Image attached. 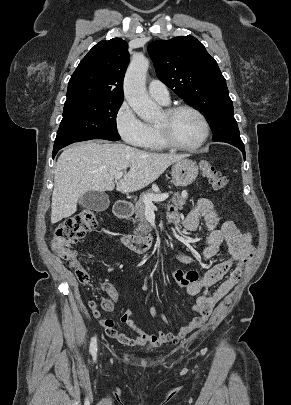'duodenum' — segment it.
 <instances>
[{"mask_svg":"<svg viewBox=\"0 0 291 405\" xmlns=\"http://www.w3.org/2000/svg\"><path fill=\"white\" fill-rule=\"evenodd\" d=\"M132 211V206L129 202L120 200L115 205V215L119 219L127 218ZM122 242L131 250L144 253L152 246V239L150 237L136 236L125 231H120Z\"/></svg>","mask_w":291,"mask_h":405,"instance_id":"410a0bca","label":"duodenum"}]
</instances>
